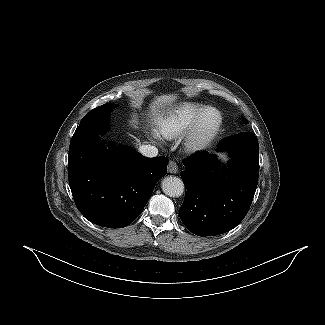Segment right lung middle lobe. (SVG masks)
Listing matches in <instances>:
<instances>
[{
  "instance_id": "dd1d6c3e",
  "label": "right lung middle lobe",
  "mask_w": 325,
  "mask_h": 325,
  "mask_svg": "<svg viewBox=\"0 0 325 325\" xmlns=\"http://www.w3.org/2000/svg\"><path fill=\"white\" fill-rule=\"evenodd\" d=\"M113 104H104L95 109L91 110L85 117L81 120L79 127H77L76 134H105L109 125V113L112 111Z\"/></svg>"
}]
</instances>
